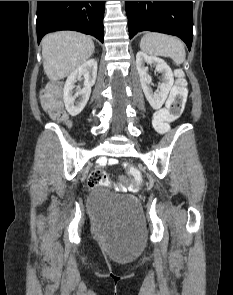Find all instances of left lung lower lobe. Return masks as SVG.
<instances>
[{"instance_id": "left-lung-lower-lobe-1", "label": "left lung lower lobe", "mask_w": 233, "mask_h": 295, "mask_svg": "<svg viewBox=\"0 0 233 295\" xmlns=\"http://www.w3.org/2000/svg\"><path fill=\"white\" fill-rule=\"evenodd\" d=\"M130 39L141 31L181 38L190 50L193 39L192 1H126Z\"/></svg>"}]
</instances>
